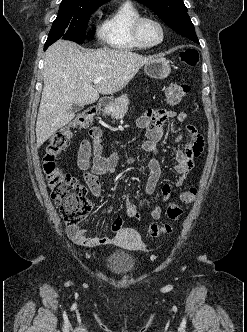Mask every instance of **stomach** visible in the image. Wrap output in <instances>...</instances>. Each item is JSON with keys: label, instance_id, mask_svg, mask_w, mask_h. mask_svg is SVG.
<instances>
[{"label": "stomach", "instance_id": "1", "mask_svg": "<svg viewBox=\"0 0 247 332\" xmlns=\"http://www.w3.org/2000/svg\"><path fill=\"white\" fill-rule=\"evenodd\" d=\"M145 73L155 79H165L171 72L170 62L162 57H155L144 67Z\"/></svg>", "mask_w": 247, "mask_h": 332}]
</instances>
